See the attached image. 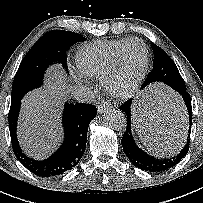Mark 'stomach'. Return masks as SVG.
Returning a JSON list of instances; mask_svg holds the SVG:
<instances>
[{
    "label": "stomach",
    "instance_id": "obj_1",
    "mask_svg": "<svg viewBox=\"0 0 203 203\" xmlns=\"http://www.w3.org/2000/svg\"><path fill=\"white\" fill-rule=\"evenodd\" d=\"M151 102L150 98L148 97V94L140 101L141 107L144 108L146 107V104L148 106V103Z\"/></svg>",
    "mask_w": 203,
    "mask_h": 203
}]
</instances>
